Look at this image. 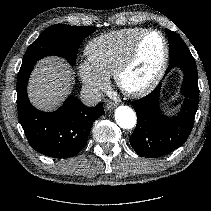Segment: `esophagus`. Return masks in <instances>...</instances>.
<instances>
[{"label":"esophagus","mask_w":211,"mask_h":211,"mask_svg":"<svg viewBox=\"0 0 211 211\" xmlns=\"http://www.w3.org/2000/svg\"><path fill=\"white\" fill-rule=\"evenodd\" d=\"M116 106H117V103H115V102H108V103L106 104V109L109 110V111H111V110L114 109Z\"/></svg>","instance_id":"esophagus-1"}]
</instances>
